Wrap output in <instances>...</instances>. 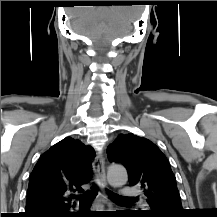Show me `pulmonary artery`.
I'll use <instances>...</instances> for the list:
<instances>
[{
  "label": "pulmonary artery",
  "instance_id": "e3ab8cb5",
  "mask_svg": "<svg viewBox=\"0 0 217 217\" xmlns=\"http://www.w3.org/2000/svg\"><path fill=\"white\" fill-rule=\"evenodd\" d=\"M121 191L122 195L127 198L137 197L140 194L138 189L128 186L123 187Z\"/></svg>",
  "mask_w": 217,
  "mask_h": 217
}]
</instances>
